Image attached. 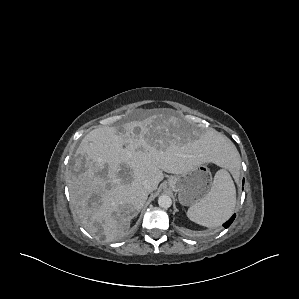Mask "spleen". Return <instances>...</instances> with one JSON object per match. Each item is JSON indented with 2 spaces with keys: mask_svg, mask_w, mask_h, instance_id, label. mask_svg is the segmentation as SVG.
<instances>
[{
  "mask_svg": "<svg viewBox=\"0 0 299 299\" xmlns=\"http://www.w3.org/2000/svg\"><path fill=\"white\" fill-rule=\"evenodd\" d=\"M236 156V152L233 157ZM236 205L234 182L226 169L217 171L212 188L204 199L192 205L187 217L202 226L213 228L227 221Z\"/></svg>",
  "mask_w": 299,
  "mask_h": 299,
  "instance_id": "1",
  "label": "spleen"
}]
</instances>
